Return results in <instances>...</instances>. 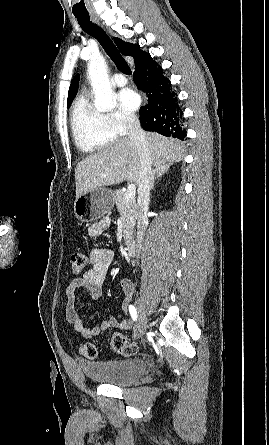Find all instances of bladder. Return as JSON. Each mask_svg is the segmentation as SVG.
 Wrapping results in <instances>:
<instances>
[{"mask_svg":"<svg viewBox=\"0 0 269 445\" xmlns=\"http://www.w3.org/2000/svg\"><path fill=\"white\" fill-rule=\"evenodd\" d=\"M79 365L88 380L116 386L133 384L147 371V364L141 359L82 361Z\"/></svg>","mask_w":269,"mask_h":445,"instance_id":"obj_1","label":"bladder"}]
</instances>
